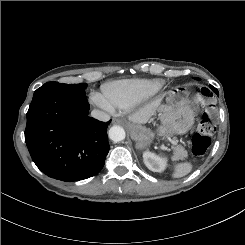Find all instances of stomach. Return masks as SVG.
Instances as JSON below:
<instances>
[{
    "mask_svg": "<svg viewBox=\"0 0 245 245\" xmlns=\"http://www.w3.org/2000/svg\"><path fill=\"white\" fill-rule=\"evenodd\" d=\"M167 104L158 105V112L161 125L158 134L166 137L176 134H185L194 124L193 111L184 103L183 92L174 89L169 92ZM131 137L137 142L139 148H145L152 143L155 133L139 124L130 125Z\"/></svg>",
    "mask_w": 245,
    "mask_h": 245,
    "instance_id": "1",
    "label": "stomach"
}]
</instances>
